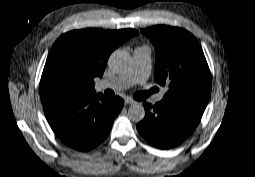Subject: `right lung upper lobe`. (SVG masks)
I'll list each match as a JSON object with an SVG mask.
<instances>
[{"label":"right lung upper lobe","mask_w":255,"mask_h":177,"mask_svg":"<svg viewBox=\"0 0 255 177\" xmlns=\"http://www.w3.org/2000/svg\"><path fill=\"white\" fill-rule=\"evenodd\" d=\"M137 34L134 29H83L63 34L50 50L40 85L55 71L67 70L80 78L81 95L93 92V79L102 76L110 54Z\"/></svg>","instance_id":"cb5924a9"}]
</instances>
